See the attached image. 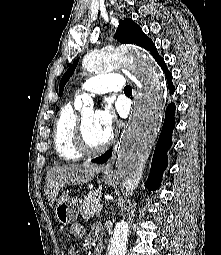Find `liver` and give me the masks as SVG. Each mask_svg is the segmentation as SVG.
<instances>
[{
  "label": "liver",
  "mask_w": 221,
  "mask_h": 255,
  "mask_svg": "<svg viewBox=\"0 0 221 255\" xmlns=\"http://www.w3.org/2000/svg\"><path fill=\"white\" fill-rule=\"evenodd\" d=\"M101 169V166L89 162H84L81 165L69 164L50 168L45 178V195L49 205L53 206L62 187L87 183L93 180L94 176L98 174Z\"/></svg>",
  "instance_id": "liver-1"
}]
</instances>
